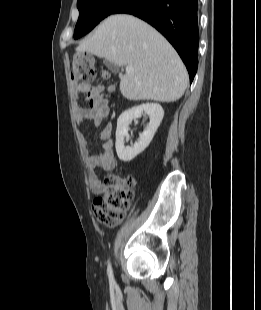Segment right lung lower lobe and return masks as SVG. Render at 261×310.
I'll list each match as a JSON object with an SVG mask.
<instances>
[{"instance_id": "obj_1", "label": "right lung lower lobe", "mask_w": 261, "mask_h": 310, "mask_svg": "<svg viewBox=\"0 0 261 310\" xmlns=\"http://www.w3.org/2000/svg\"><path fill=\"white\" fill-rule=\"evenodd\" d=\"M197 3L198 0H126L112 14H132L161 32L182 58L192 82L198 66Z\"/></svg>"}]
</instances>
